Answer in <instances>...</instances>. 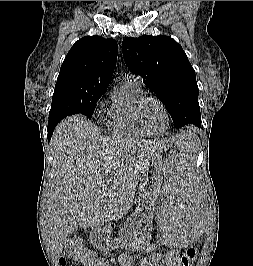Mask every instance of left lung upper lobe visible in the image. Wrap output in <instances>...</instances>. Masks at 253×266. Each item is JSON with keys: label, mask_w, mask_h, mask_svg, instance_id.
Masks as SVG:
<instances>
[{"label": "left lung upper lobe", "mask_w": 253, "mask_h": 266, "mask_svg": "<svg viewBox=\"0 0 253 266\" xmlns=\"http://www.w3.org/2000/svg\"><path fill=\"white\" fill-rule=\"evenodd\" d=\"M123 57L169 111L177 128L201 127L195 70L180 44L168 36L125 38Z\"/></svg>", "instance_id": "5c2ea615"}]
</instances>
